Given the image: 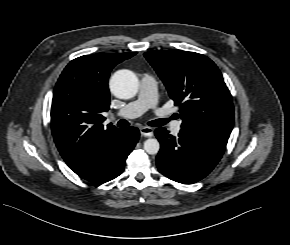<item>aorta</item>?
I'll list each match as a JSON object with an SVG mask.
<instances>
[{
  "instance_id": "aorta-1",
  "label": "aorta",
  "mask_w": 290,
  "mask_h": 245,
  "mask_svg": "<svg viewBox=\"0 0 290 245\" xmlns=\"http://www.w3.org/2000/svg\"><path fill=\"white\" fill-rule=\"evenodd\" d=\"M112 93L120 99H129L136 95L138 91V79L136 75L129 70L117 71L110 80ZM144 150L155 155L160 150V143L155 138H149L144 142Z\"/></svg>"
}]
</instances>
